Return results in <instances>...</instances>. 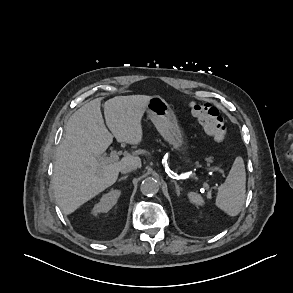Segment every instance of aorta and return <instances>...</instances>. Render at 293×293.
Returning a JSON list of instances; mask_svg holds the SVG:
<instances>
[{"label": "aorta", "instance_id": "1", "mask_svg": "<svg viewBox=\"0 0 293 293\" xmlns=\"http://www.w3.org/2000/svg\"><path fill=\"white\" fill-rule=\"evenodd\" d=\"M140 190L144 195H155L159 191V181L153 177H147L142 181Z\"/></svg>", "mask_w": 293, "mask_h": 293}]
</instances>
